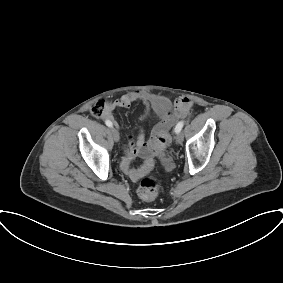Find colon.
<instances>
[{
    "mask_svg": "<svg viewBox=\"0 0 283 283\" xmlns=\"http://www.w3.org/2000/svg\"><path fill=\"white\" fill-rule=\"evenodd\" d=\"M105 104L102 101L94 103L90 109V113L95 117H101L105 113ZM167 126L163 127L156 135L153 143V152L156 157L160 156L165 150L170 141V136L167 132ZM160 193V183L154 176L144 178L139 187L138 195L143 201H154Z\"/></svg>",
    "mask_w": 283,
    "mask_h": 283,
    "instance_id": "obj_1",
    "label": "colon"
}]
</instances>
